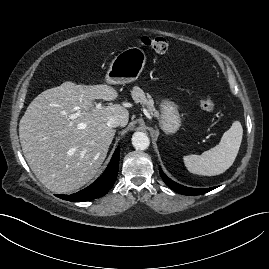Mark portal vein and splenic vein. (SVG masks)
Here are the masks:
<instances>
[{"mask_svg":"<svg viewBox=\"0 0 269 269\" xmlns=\"http://www.w3.org/2000/svg\"><path fill=\"white\" fill-rule=\"evenodd\" d=\"M100 107H102L101 103L96 104V108H100Z\"/></svg>","mask_w":269,"mask_h":269,"instance_id":"1","label":"portal vein and splenic vein"}]
</instances>
